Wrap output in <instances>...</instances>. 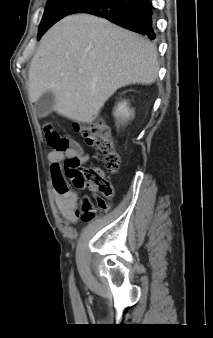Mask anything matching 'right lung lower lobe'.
Masks as SVG:
<instances>
[{"label":"right lung lower lobe","mask_w":213,"mask_h":338,"mask_svg":"<svg viewBox=\"0 0 213 338\" xmlns=\"http://www.w3.org/2000/svg\"><path fill=\"white\" fill-rule=\"evenodd\" d=\"M74 13L98 15L151 40L156 37L151 0H92Z\"/></svg>","instance_id":"right-lung-lower-lobe-1"}]
</instances>
